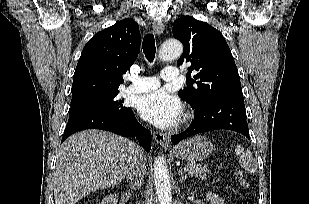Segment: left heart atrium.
<instances>
[{
  "instance_id": "obj_1",
  "label": "left heart atrium",
  "mask_w": 309,
  "mask_h": 204,
  "mask_svg": "<svg viewBox=\"0 0 309 204\" xmlns=\"http://www.w3.org/2000/svg\"><path fill=\"white\" fill-rule=\"evenodd\" d=\"M137 109L145 120L161 128L176 125L182 114L180 101L164 90L141 96L137 102Z\"/></svg>"
}]
</instances>
